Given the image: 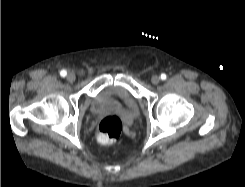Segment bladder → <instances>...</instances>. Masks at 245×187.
Segmentation results:
<instances>
[{"label": "bladder", "mask_w": 245, "mask_h": 187, "mask_svg": "<svg viewBox=\"0 0 245 187\" xmlns=\"http://www.w3.org/2000/svg\"><path fill=\"white\" fill-rule=\"evenodd\" d=\"M91 109L96 114L124 113L133 116L137 104L130 92L122 86H112L99 91L91 101Z\"/></svg>", "instance_id": "1"}]
</instances>
